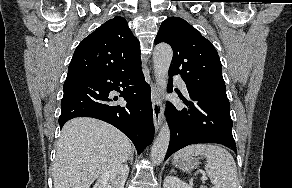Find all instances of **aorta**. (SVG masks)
Listing matches in <instances>:
<instances>
[{"label": "aorta", "mask_w": 292, "mask_h": 188, "mask_svg": "<svg viewBox=\"0 0 292 188\" xmlns=\"http://www.w3.org/2000/svg\"><path fill=\"white\" fill-rule=\"evenodd\" d=\"M172 56L173 51L168 44L160 43L156 45L153 52L154 73L161 92H164L167 88L168 71ZM170 135V129L165 122L151 149V160L154 164H160L165 158L170 142Z\"/></svg>", "instance_id": "1"}]
</instances>
